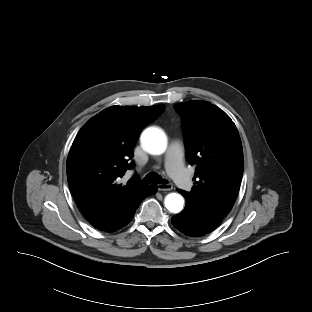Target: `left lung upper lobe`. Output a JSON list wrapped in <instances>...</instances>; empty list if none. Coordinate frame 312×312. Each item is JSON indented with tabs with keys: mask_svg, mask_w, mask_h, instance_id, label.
Listing matches in <instances>:
<instances>
[{
	"mask_svg": "<svg viewBox=\"0 0 312 312\" xmlns=\"http://www.w3.org/2000/svg\"><path fill=\"white\" fill-rule=\"evenodd\" d=\"M174 108L182 118L187 159L196 166L194 187L181 193L223 217L236 200L244 169L236 126L224 111L207 101L178 103Z\"/></svg>",
	"mask_w": 312,
	"mask_h": 312,
	"instance_id": "obj_1",
	"label": "left lung upper lobe"
}]
</instances>
